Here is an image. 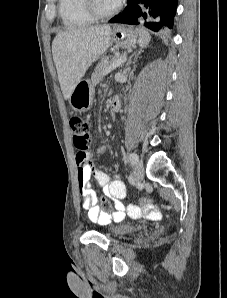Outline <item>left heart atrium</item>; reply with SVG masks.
<instances>
[{
  "label": "left heart atrium",
  "mask_w": 227,
  "mask_h": 298,
  "mask_svg": "<svg viewBox=\"0 0 227 298\" xmlns=\"http://www.w3.org/2000/svg\"><path fill=\"white\" fill-rule=\"evenodd\" d=\"M113 1V3L116 5V4H118L119 2H121L122 0H112Z\"/></svg>",
  "instance_id": "39dd6f15"
}]
</instances>
